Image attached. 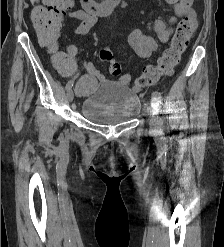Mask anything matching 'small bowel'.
<instances>
[{"label": "small bowel", "mask_w": 224, "mask_h": 247, "mask_svg": "<svg viewBox=\"0 0 224 247\" xmlns=\"http://www.w3.org/2000/svg\"><path fill=\"white\" fill-rule=\"evenodd\" d=\"M169 4L173 5V16L170 18V24L168 25L162 19H156L154 21L153 27L154 31L157 33L159 41L165 43L167 42L172 33V25L177 21V19L183 15L189 16L195 26V13L191 6L193 0H166ZM69 17L80 20L79 26L74 29V32L78 35H86L89 30L93 27L96 22L97 17L94 14L88 13L84 10H75L67 13ZM128 44L134 50V52L141 58L150 57L158 47L157 41L150 35L145 34L140 28H135L128 37ZM172 71L168 72L167 75H171ZM131 82V75H122L118 83L121 85L128 86ZM135 92H140L142 90L141 86H133Z\"/></svg>", "instance_id": "obj_1"}]
</instances>
